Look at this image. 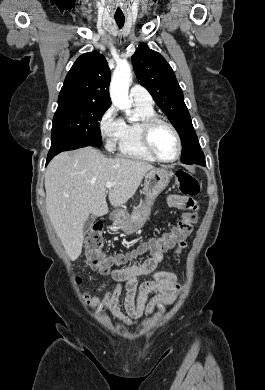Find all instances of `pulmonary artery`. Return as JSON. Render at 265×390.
Returning a JSON list of instances; mask_svg holds the SVG:
<instances>
[{"label": "pulmonary artery", "instance_id": "e3ab8cb5", "mask_svg": "<svg viewBox=\"0 0 265 390\" xmlns=\"http://www.w3.org/2000/svg\"><path fill=\"white\" fill-rule=\"evenodd\" d=\"M130 97L135 104L138 105H152V98L147 90L139 85H133L130 88Z\"/></svg>", "mask_w": 265, "mask_h": 390}]
</instances>
